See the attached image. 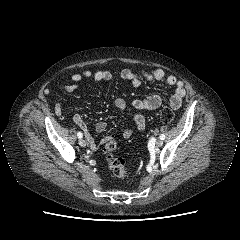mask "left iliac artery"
I'll use <instances>...</instances> for the list:
<instances>
[{"label": "left iliac artery", "instance_id": "44dca946", "mask_svg": "<svg viewBox=\"0 0 240 240\" xmlns=\"http://www.w3.org/2000/svg\"><path fill=\"white\" fill-rule=\"evenodd\" d=\"M160 139H161V140H164V139H165V135H164V134H161V135H160Z\"/></svg>", "mask_w": 240, "mask_h": 240}]
</instances>
